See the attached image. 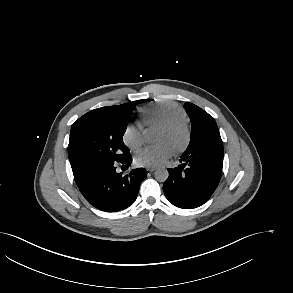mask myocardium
<instances>
[{"label":"myocardium","mask_w":293,"mask_h":293,"mask_svg":"<svg viewBox=\"0 0 293 293\" xmlns=\"http://www.w3.org/2000/svg\"><path fill=\"white\" fill-rule=\"evenodd\" d=\"M160 128L161 130L169 134H176L179 132L183 134V140L181 141V143L174 147V151L176 153H182L188 148L191 142V128L185 120H180L167 125H163Z\"/></svg>","instance_id":"obj_1"}]
</instances>
